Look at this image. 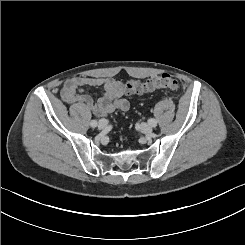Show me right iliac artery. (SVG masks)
Wrapping results in <instances>:
<instances>
[{"instance_id":"obj_1","label":"right iliac artery","mask_w":245,"mask_h":245,"mask_svg":"<svg viewBox=\"0 0 245 245\" xmlns=\"http://www.w3.org/2000/svg\"><path fill=\"white\" fill-rule=\"evenodd\" d=\"M90 125L95 128L97 126V121L96 120H92Z\"/></svg>"}]
</instances>
